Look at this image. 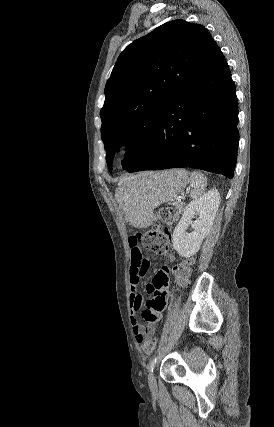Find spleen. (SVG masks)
I'll return each instance as SVG.
<instances>
[{
    "label": "spleen",
    "instance_id": "spleen-1",
    "mask_svg": "<svg viewBox=\"0 0 274 427\" xmlns=\"http://www.w3.org/2000/svg\"><path fill=\"white\" fill-rule=\"evenodd\" d=\"M207 186V178L200 174V172H192L190 176V198L192 200H197L201 198L202 194L205 192Z\"/></svg>",
    "mask_w": 274,
    "mask_h": 427
}]
</instances>
